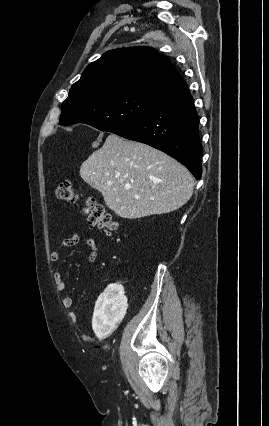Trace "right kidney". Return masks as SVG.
Listing matches in <instances>:
<instances>
[{
  "instance_id": "ca27d5eb",
  "label": "right kidney",
  "mask_w": 269,
  "mask_h": 426,
  "mask_svg": "<svg viewBox=\"0 0 269 426\" xmlns=\"http://www.w3.org/2000/svg\"><path fill=\"white\" fill-rule=\"evenodd\" d=\"M122 286L121 282L112 281L96 302L92 328L99 339L109 336L126 312L127 298Z\"/></svg>"
}]
</instances>
